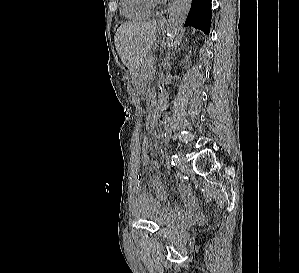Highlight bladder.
<instances>
[{"mask_svg": "<svg viewBox=\"0 0 299 273\" xmlns=\"http://www.w3.org/2000/svg\"><path fill=\"white\" fill-rule=\"evenodd\" d=\"M137 217L139 220L154 223L160 227H167L173 225L176 222L175 218L166 217L158 213L153 208H147L145 210H137Z\"/></svg>", "mask_w": 299, "mask_h": 273, "instance_id": "bladder-1", "label": "bladder"}]
</instances>
